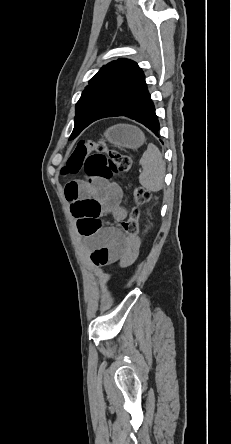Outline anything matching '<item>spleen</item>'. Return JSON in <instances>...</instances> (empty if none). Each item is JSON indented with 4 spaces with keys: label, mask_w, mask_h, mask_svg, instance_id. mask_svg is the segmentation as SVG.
Listing matches in <instances>:
<instances>
[{
    "label": "spleen",
    "mask_w": 231,
    "mask_h": 444,
    "mask_svg": "<svg viewBox=\"0 0 231 444\" xmlns=\"http://www.w3.org/2000/svg\"><path fill=\"white\" fill-rule=\"evenodd\" d=\"M139 163L143 169L139 175L140 184L149 191H160L164 184L165 162L158 147L150 143Z\"/></svg>",
    "instance_id": "spleen-1"
}]
</instances>
